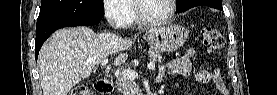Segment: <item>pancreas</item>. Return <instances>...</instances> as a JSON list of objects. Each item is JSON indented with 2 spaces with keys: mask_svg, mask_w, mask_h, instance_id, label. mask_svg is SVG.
<instances>
[{
  "mask_svg": "<svg viewBox=\"0 0 277 95\" xmlns=\"http://www.w3.org/2000/svg\"><path fill=\"white\" fill-rule=\"evenodd\" d=\"M151 62H162V55L158 50H149L148 54ZM117 91L121 95H138L139 87L134 80L119 77L116 80Z\"/></svg>",
  "mask_w": 277,
  "mask_h": 95,
  "instance_id": "obj_1",
  "label": "pancreas"
}]
</instances>
